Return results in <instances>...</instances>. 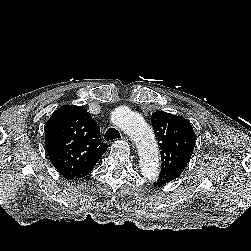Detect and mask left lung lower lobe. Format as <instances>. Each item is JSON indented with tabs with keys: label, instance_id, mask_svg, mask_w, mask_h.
<instances>
[{
	"label": "left lung lower lobe",
	"instance_id": "left-lung-lower-lobe-1",
	"mask_svg": "<svg viewBox=\"0 0 251 251\" xmlns=\"http://www.w3.org/2000/svg\"><path fill=\"white\" fill-rule=\"evenodd\" d=\"M164 184H166V183H163V182L160 181V180H157V182L155 183V185H160V186H162V185H164Z\"/></svg>",
	"mask_w": 251,
	"mask_h": 251
}]
</instances>
